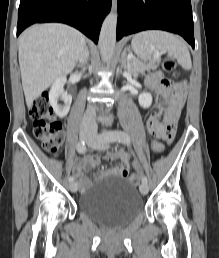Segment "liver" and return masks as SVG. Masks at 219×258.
Listing matches in <instances>:
<instances>
[{
  "instance_id": "1",
  "label": "liver",
  "mask_w": 219,
  "mask_h": 258,
  "mask_svg": "<svg viewBox=\"0 0 219 258\" xmlns=\"http://www.w3.org/2000/svg\"><path fill=\"white\" fill-rule=\"evenodd\" d=\"M85 46L82 33L59 23L33 25L20 35L19 65L28 107L56 79L73 71Z\"/></svg>"
}]
</instances>
